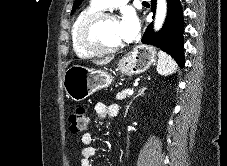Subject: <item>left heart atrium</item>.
I'll return each mask as SVG.
<instances>
[{
	"label": "left heart atrium",
	"mask_w": 227,
	"mask_h": 166,
	"mask_svg": "<svg viewBox=\"0 0 227 166\" xmlns=\"http://www.w3.org/2000/svg\"><path fill=\"white\" fill-rule=\"evenodd\" d=\"M121 31L124 40L131 41L139 31V21L134 13H127L122 21Z\"/></svg>",
	"instance_id": "left-heart-atrium-1"
}]
</instances>
